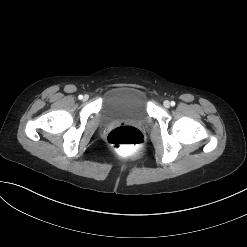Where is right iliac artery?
Returning a JSON list of instances; mask_svg holds the SVG:
<instances>
[{
    "instance_id": "obj_1",
    "label": "right iliac artery",
    "mask_w": 247,
    "mask_h": 247,
    "mask_svg": "<svg viewBox=\"0 0 247 247\" xmlns=\"http://www.w3.org/2000/svg\"><path fill=\"white\" fill-rule=\"evenodd\" d=\"M78 98H79L80 100H82V99H83V96H82V95H79Z\"/></svg>"
}]
</instances>
